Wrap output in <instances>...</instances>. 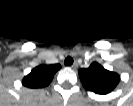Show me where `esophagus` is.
<instances>
[{
	"label": "esophagus",
	"instance_id": "esophagus-1",
	"mask_svg": "<svg viewBox=\"0 0 133 106\" xmlns=\"http://www.w3.org/2000/svg\"><path fill=\"white\" fill-rule=\"evenodd\" d=\"M78 67V64L77 63H74L73 65H71V68L72 69H76Z\"/></svg>",
	"mask_w": 133,
	"mask_h": 106
}]
</instances>
